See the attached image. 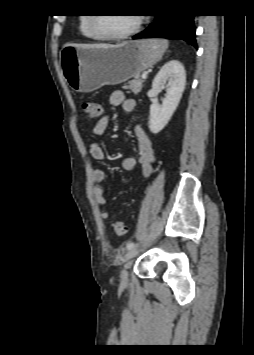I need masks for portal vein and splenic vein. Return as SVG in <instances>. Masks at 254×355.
Here are the masks:
<instances>
[{
	"label": "portal vein and splenic vein",
	"instance_id": "obj_1",
	"mask_svg": "<svg viewBox=\"0 0 254 355\" xmlns=\"http://www.w3.org/2000/svg\"><path fill=\"white\" fill-rule=\"evenodd\" d=\"M146 77H147L146 74H143V75H142V78H143V79H146Z\"/></svg>",
	"mask_w": 254,
	"mask_h": 355
}]
</instances>
